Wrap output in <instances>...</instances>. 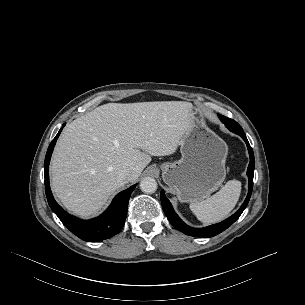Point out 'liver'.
Instances as JSON below:
<instances>
[{"label": "liver", "mask_w": 305, "mask_h": 305, "mask_svg": "<svg viewBox=\"0 0 305 305\" xmlns=\"http://www.w3.org/2000/svg\"><path fill=\"white\" fill-rule=\"evenodd\" d=\"M185 101L108 103L72 121L60 135L51 160V187L64 207L87 218L125 183L135 182L150 156L173 154L192 124ZM128 183V182H127Z\"/></svg>", "instance_id": "6515ba94"}]
</instances>
